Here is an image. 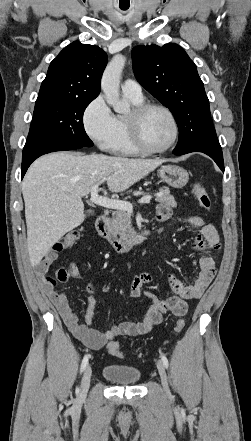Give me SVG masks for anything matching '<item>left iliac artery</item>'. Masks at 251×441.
Returning a JSON list of instances; mask_svg holds the SVG:
<instances>
[{
    "instance_id": "obj_1",
    "label": "left iliac artery",
    "mask_w": 251,
    "mask_h": 441,
    "mask_svg": "<svg viewBox=\"0 0 251 441\" xmlns=\"http://www.w3.org/2000/svg\"><path fill=\"white\" fill-rule=\"evenodd\" d=\"M161 361H162L163 365H164L166 368H168L169 363H168V359L166 358V356L161 355Z\"/></svg>"
}]
</instances>
